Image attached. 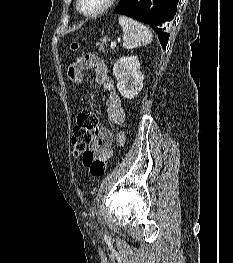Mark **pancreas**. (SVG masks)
<instances>
[{
    "mask_svg": "<svg viewBox=\"0 0 233 263\" xmlns=\"http://www.w3.org/2000/svg\"><path fill=\"white\" fill-rule=\"evenodd\" d=\"M107 40H108V38L104 37V38L102 39L101 43H98V46H99L100 51H102V52H105V51H106V50H105V46H107Z\"/></svg>",
    "mask_w": 233,
    "mask_h": 263,
    "instance_id": "1",
    "label": "pancreas"
}]
</instances>
